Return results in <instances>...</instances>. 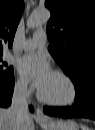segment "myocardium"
<instances>
[{
	"mask_svg": "<svg viewBox=\"0 0 95 130\" xmlns=\"http://www.w3.org/2000/svg\"><path fill=\"white\" fill-rule=\"evenodd\" d=\"M52 73L63 77L68 82V84L71 87V97L66 101H53V100L45 98L43 96L41 90L38 89V92H37L38 99L41 102H43L44 104L51 105V106L72 105L76 101L77 95H78L77 86H76L74 80L66 72L59 70V69L53 70Z\"/></svg>",
	"mask_w": 95,
	"mask_h": 130,
	"instance_id": "f54148a6",
	"label": "myocardium"
}]
</instances>
